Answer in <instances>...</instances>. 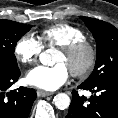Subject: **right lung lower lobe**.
Instances as JSON below:
<instances>
[{"label":"right lung lower lobe","mask_w":118,"mask_h":118,"mask_svg":"<svg viewBox=\"0 0 118 118\" xmlns=\"http://www.w3.org/2000/svg\"><path fill=\"white\" fill-rule=\"evenodd\" d=\"M20 76L17 70L9 74H0V118H27L37 94L34 89L20 87L18 90H6Z\"/></svg>","instance_id":"right-lung-lower-lobe-1"}]
</instances>
